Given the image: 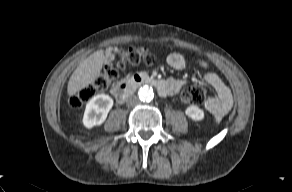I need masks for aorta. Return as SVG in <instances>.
Wrapping results in <instances>:
<instances>
[{"label":"aorta","mask_w":292,"mask_h":192,"mask_svg":"<svg viewBox=\"0 0 292 192\" xmlns=\"http://www.w3.org/2000/svg\"><path fill=\"white\" fill-rule=\"evenodd\" d=\"M138 95L141 101L150 102L154 97V92L151 87L145 85L139 89Z\"/></svg>","instance_id":"obj_1"}]
</instances>
